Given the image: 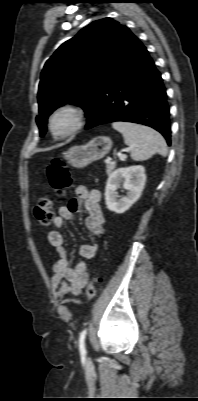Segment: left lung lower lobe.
Listing matches in <instances>:
<instances>
[{
    "instance_id": "obj_1",
    "label": "left lung lower lobe",
    "mask_w": 198,
    "mask_h": 401,
    "mask_svg": "<svg viewBox=\"0 0 198 401\" xmlns=\"http://www.w3.org/2000/svg\"><path fill=\"white\" fill-rule=\"evenodd\" d=\"M125 121L159 131L170 145L169 107L162 78L143 44L137 39L101 88L86 129Z\"/></svg>"
}]
</instances>
